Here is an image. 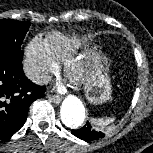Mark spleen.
Returning <instances> with one entry per match:
<instances>
[{
    "label": "spleen",
    "mask_w": 153,
    "mask_h": 153,
    "mask_svg": "<svg viewBox=\"0 0 153 153\" xmlns=\"http://www.w3.org/2000/svg\"><path fill=\"white\" fill-rule=\"evenodd\" d=\"M114 121L113 117H106V118H93L91 120V123L94 127L96 128H100V127H104L108 124H110L111 122Z\"/></svg>",
    "instance_id": "spleen-1"
}]
</instances>
